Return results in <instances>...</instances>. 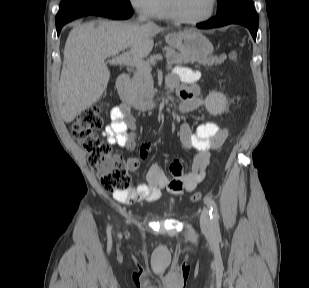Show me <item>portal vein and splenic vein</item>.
<instances>
[{
	"instance_id": "obj_1",
	"label": "portal vein and splenic vein",
	"mask_w": 309,
	"mask_h": 288,
	"mask_svg": "<svg viewBox=\"0 0 309 288\" xmlns=\"http://www.w3.org/2000/svg\"><path fill=\"white\" fill-rule=\"evenodd\" d=\"M111 65H128L134 66L137 69H146L151 71L149 63L143 61L142 59L131 57L128 53H124L119 56H115L107 61ZM169 65V62H167Z\"/></svg>"
}]
</instances>
